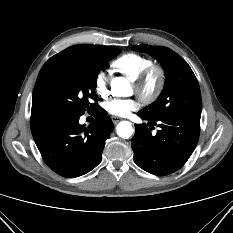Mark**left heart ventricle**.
Wrapping results in <instances>:
<instances>
[{"label": "left heart ventricle", "instance_id": "left-heart-ventricle-1", "mask_svg": "<svg viewBox=\"0 0 233 233\" xmlns=\"http://www.w3.org/2000/svg\"><path fill=\"white\" fill-rule=\"evenodd\" d=\"M155 83H156V78H155V77H152V78L150 79V81L148 82V84H147V90H148V91H151V90L154 88ZM132 91L135 92V88H134L133 85H132Z\"/></svg>", "mask_w": 233, "mask_h": 233}]
</instances>
